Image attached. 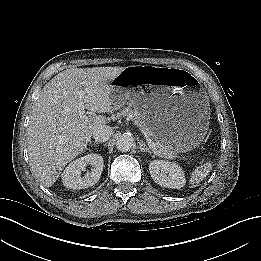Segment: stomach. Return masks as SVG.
Returning <instances> with one entry per match:
<instances>
[{
    "mask_svg": "<svg viewBox=\"0 0 261 261\" xmlns=\"http://www.w3.org/2000/svg\"><path fill=\"white\" fill-rule=\"evenodd\" d=\"M142 74L154 78L150 92L125 86ZM114 80L113 108L129 101L146 118L155 140L171 145L177 153L200 144L209 125L208 98L190 74L156 66H130Z\"/></svg>",
    "mask_w": 261,
    "mask_h": 261,
    "instance_id": "1",
    "label": "stomach"
}]
</instances>
